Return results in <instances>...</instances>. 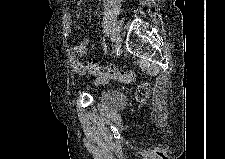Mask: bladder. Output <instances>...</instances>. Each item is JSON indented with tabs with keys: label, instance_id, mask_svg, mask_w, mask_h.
<instances>
[{
	"label": "bladder",
	"instance_id": "1",
	"mask_svg": "<svg viewBox=\"0 0 225 159\" xmlns=\"http://www.w3.org/2000/svg\"><path fill=\"white\" fill-rule=\"evenodd\" d=\"M100 102L109 108H121L125 99L119 92L108 90L102 94Z\"/></svg>",
	"mask_w": 225,
	"mask_h": 159
}]
</instances>
